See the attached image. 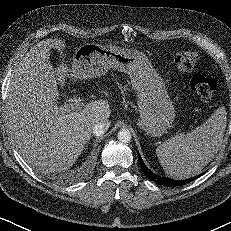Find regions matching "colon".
Listing matches in <instances>:
<instances>
[{
  "mask_svg": "<svg viewBox=\"0 0 231 231\" xmlns=\"http://www.w3.org/2000/svg\"><path fill=\"white\" fill-rule=\"evenodd\" d=\"M198 53L194 51H182L174 57V65L179 72H189L197 64ZM216 81L213 78L196 75L191 80V88L197 97L204 101H210L216 91Z\"/></svg>",
  "mask_w": 231,
  "mask_h": 231,
  "instance_id": "1",
  "label": "colon"
}]
</instances>
